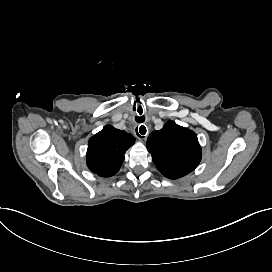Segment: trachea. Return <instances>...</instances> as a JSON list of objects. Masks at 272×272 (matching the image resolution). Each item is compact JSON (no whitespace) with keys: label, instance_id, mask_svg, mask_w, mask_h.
<instances>
[{"label":"trachea","instance_id":"trachea-1","mask_svg":"<svg viewBox=\"0 0 272 272\" xmlns=\"http://www.w3.org/2000/svg\"><path fill=\"white\" fill-rule=\"evenodd\" d=\"M136 120H137V122L142 123L144 121V118L143 117H138V118H136ZM136 131H137L138 135H139V133L141 135H144L146 133V128H145L144 125H141L140 128H139V133H138V130H136Z\"/></svg>","mask_w":272,"mask_h":272}]
</instances>
